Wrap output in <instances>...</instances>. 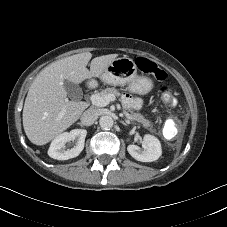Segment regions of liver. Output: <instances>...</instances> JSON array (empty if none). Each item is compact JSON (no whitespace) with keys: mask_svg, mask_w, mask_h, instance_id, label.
Segmentation results:
<instances>
[{"mask_svg":"<svg viewBox=\"0 0 227 227\" xmlns=\"http://www.w3.org/2000/svg\"><path fill=\"white\" fill-rule=\"evenodd\" d=\"M117 54L92 58L90 52L75 54L45 67L31 84L23 108V127L35 145H45L75 123L88 107L83 101H69L64 81L82 83L100 77ZM63 115L60 117V113Z\"/></svg>","mask_w":227,"mask_h":227,"instance_id":"1","label":"liver"}]
</instances>
